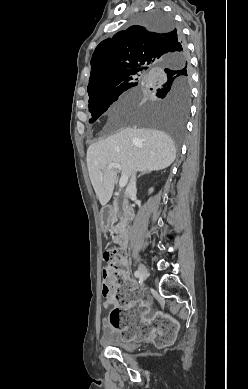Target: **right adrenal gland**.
I'll use <instances>...</instances> for the list:
<instances>
[{"mask_svg": "<svg viewBox=\"0 0 248 389\" xmlns=\"http://www.w3.org/2000/svg\"><path fill=\"white\" fill-rule=\"evenodd\" d=\"M143 174H144V173H141V174L139 175V177H141Z\"/></svg>", "mask_w": 248, "mask_h": 389, "instance_id": "right-adrenal-gland-1", "label": "right adrenal gland"}]
</instances>
